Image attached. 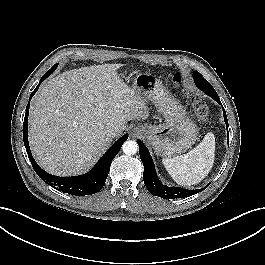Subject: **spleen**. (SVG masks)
I'll return each mask as SVG.
<instances>
[{"mask_svg": "<svg viewBox=\"0 0 265 265\" xmlns=\"http://www.w3.org/2000/svg\"><path fill=\"white\" fill-rule=\"evenodd\" d=\"M215 155V137L209 132L199 145L189 153L174 158H164L162 163L173 180L180 185L201 182L210 172Z\"/></svg>", "mask_w": 265, "mask_h": 265, "instance_id": "1", "label": "spleen"}]
</instances>
